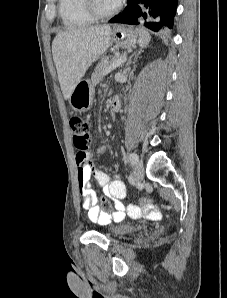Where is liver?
Instances as JSON below:
<instances>
[{
  "instance_id": "1",
  "label": "liver",
  "mask_w": 227,
  "mask_h": 298,
  "mask_svg": "<svg viewBox=\"0 0 227 298\" xmlns=\"http://www.w3.org/2000/svg\"><path fill=\"white\" fill-rule=\"evenodd\" d=\"M111 36L108 25L73 28L56 35L52 54L65 100L88 68L106 52Z\"/></svg>"
}]
</instances>
